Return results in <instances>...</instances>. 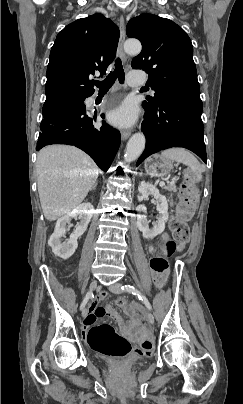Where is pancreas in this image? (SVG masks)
Here are the masks:
<instances>
[{
	"label": "pancreas",
	"mask_w": 243,
	"mask_h": 404,
	"mask_svg": "<svg viewBox=\"0 0 243 404\" xmlns=\"http://www.w3.org/2000/svg\"><path fill=\"white\" fill-rule=\"evenodd\" d=\"M163 190H168V192H177V186L174 182H171V184H167V186H165V188H163Z\"/></svg>",
	"instance_id": "cf45deb5"
}]
</instances>
